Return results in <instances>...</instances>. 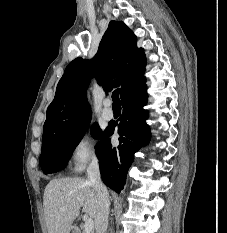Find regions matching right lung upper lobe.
<instances>
[{"label":"right lung upper lobe","instance_id":"1","mask_svg":"<svg viewBox=\"0 0 227 233\" xmlns=\"http://www.w3.org/2000/svg\"><path fill=\"white\" fill-rule=\"evenodd\" d=\"M144 70V51L137 48L134 33L123 22L111 21L94 58L88 61L78 57L66 67L55 98L47 109L42 143L90 121L86 89L92 76L105 91L120 86L122 101L146 86ZM114 77L117 78L112 80Z\"/></svg>","mask_w":227,"mask_h":233}]
</instances>
